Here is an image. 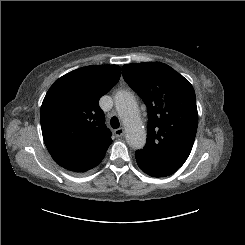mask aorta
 I'll return each instance as SVG.
<instances>
[{
	"label": "aorta",
	"instance_id": "1",
	"mask_svg": "<svg viewBox=\"0 0 245 245\" xmlns=\"http://www.w3.org/2000/svg\"><path fill=\"white\" fill-rule=\"evenodd\" d=\"M115 106L125 126L127 143L134 149L143 148L146 132L134 96L128 91H119L115 96Z\"/></svg>",
	"mask_w": 245,
	"mask_h": 245
}]
</instances>
